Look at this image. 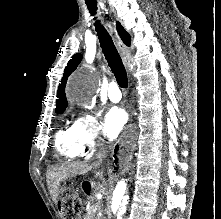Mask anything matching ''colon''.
Wrapping results in <instances>:
<instances>
[{"mask_svg": "<svg viewBox=\"0 0 221 219\" xmlns=\"http://www.w3.org/2000/svg\"><path fill=\"white\" fill-rule=\"evenodd\" d=\"M63 207L68 218H74L79 206V195L77 192L68 190L62 195Z\"/></svg>", "mask_w": 221, "mask_h": 219, "instance_id": "1", "label": "colon"}]
</instances>
